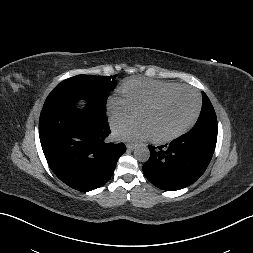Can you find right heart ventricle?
Segmentation results:
<instances>
[{
  "label": "right heart ventricle",
  "instance_id": "right-heart-ventricle-1",
  "mask_svg": "<svg viewBox=\"0 0 253 253\" xmlns=\"http://www.w3.org/2000/svg\"><path fill=\"white\" fill-rule=\"evenodd\" d=\"M178 86L176 83L132 79L124 84L122 94L128 104L137 111L158 94Z\"/></svg>",
  "mask_w": 253,
  "mask_h": 253
}]
</instances>
